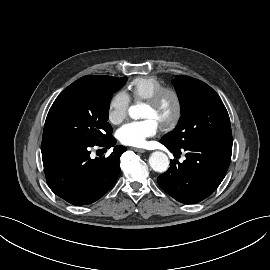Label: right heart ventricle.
Instances as JSON below:
<instances>
[{
	"label": "right heart ventricle",
	"instance_id": "right-heart-ventricle-1",
	"mask_svg": "<svg viewBox=\"0 0 270 270\" xmlns=\"http://www.w3.org/2000/svg\"><path fill=\"white\" fill-rule=\"evenodd\" d=\"M163 86L164 83L155 76H142L133 79L128 85V90L133 99L146 100Z\"/></svg>",
	"mask_w": 270,
	"mask_h": 270
}]
</instances>
